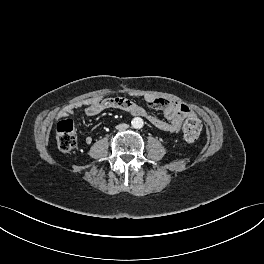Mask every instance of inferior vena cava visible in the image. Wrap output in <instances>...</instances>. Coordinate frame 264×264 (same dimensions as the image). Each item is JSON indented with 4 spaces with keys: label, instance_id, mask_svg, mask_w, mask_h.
<instances>
[{
    "label": "inferior vena cava",
    "instance_id": "602c4592",
    "mask_svg": "<svg viewBox=\"0 0 264 264\" xmlns=\"http://www.w3.org/2000/svg\"><path fill=\"white\" fill-rule=\"evenodd\" d=\"M128 127H129L128 124L122 123V124L117 125V126H116V129H118V130H125V129H127Z\"/></svg>",
    "mask_w": 264,
    "mask_h": 264
}]
</instances>
